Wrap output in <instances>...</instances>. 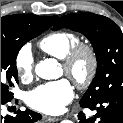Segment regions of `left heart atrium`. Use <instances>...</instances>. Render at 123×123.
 <instances>
[{"label": "left heart atrium", "instance_id": "obj_1", "mask_svg": "<svg viewBox=\"0 0 123 123\" xmlns=\"http://www.w3.org/2000/svg\"><path fill=\"white\" fill-rule=\"evenodd\" d=\"M74 97L73 87L67 79L44 83L26 95V103L31 108L46 114H56L64 110Z\"/></svg>", "mask_w": 123, "mask_h": 123}]
</instances>
